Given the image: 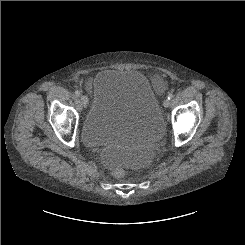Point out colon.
I'll list each match as a JSON object with an SVG mask.
<instances>
[{"label":"colon","instance_id":"obj_1","mask_svg":"<svg viewBox=\"0 0 245 245\" xmlns=\"http://www.w3.org/2000/svg\"><path fill=\"white\" fill-rule=\"evenodd\" d=\"M127 164L126 163H124V162H121V163H119L116 167H115V169H114V174H115V176H117V177H122V176H124V174H125V172H126V170H127Z\"/></svg>","mask_w":245,"mask_h":245}]
</instances>
